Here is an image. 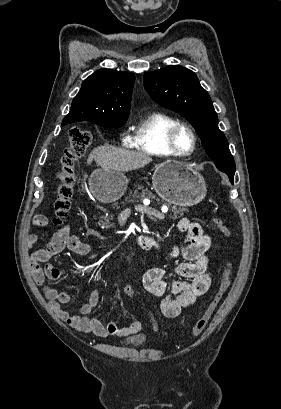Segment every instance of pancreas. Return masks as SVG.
<instances>
[{"label": "pancreas", "mask_w": 281, "mask_h": 409, "mask_svg": "<svg viewBox=\"0 0 281 409\" xmlns=\"http://www.w3.org/2000/svg\"><path fill=\"white\" fill-rule=\"evenodd\" d=\"M130 196H133V198H140V200H143V198H153L154 194H152L151 190L145 188V186H137V190H134V192H130ZM171 211L173 213V217H171V219H179V217H182L183 215L180 209H175V207H172Z\"/></svg>", "instance_id": "cf45deb5"}]
</instances>
